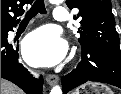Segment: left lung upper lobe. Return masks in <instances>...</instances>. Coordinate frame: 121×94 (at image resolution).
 <instances>
[{"mask_svg":"<svg viewBox=\"0 0 121 94\" xmlns=\"http://www.w3.org/2000/svg\"><path fill=\"white\" fill-rule=\"evenodd\" d=\"M70 9L78 8L75 19H81V48L107 46L119 48V36L110 0H66Z\"/></svg>","mask_w":121,"mask_h":94,"instance_id":"1","label":"left lung upper lobe"}]
</instances>
